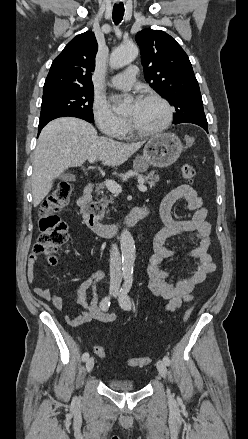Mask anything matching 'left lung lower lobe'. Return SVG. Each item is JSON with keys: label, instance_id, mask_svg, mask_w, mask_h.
I'll return each mask as SVG.
<instances>
[{"label": "left lung lower lobe", "instance_id": "1", "mask_svg": "<svg viewBox=\"0 0 248 439\" xmlns=\"http://www.w3.org/2000/svg\"><path fill=\"white\" fill-rule=\"evenodd\" d=\"M181 123H193L201 126L206 132H208V123L207 121H183Z\"/></svg>", "mask_w": 248, "mask_h": 439}]
</instances>
